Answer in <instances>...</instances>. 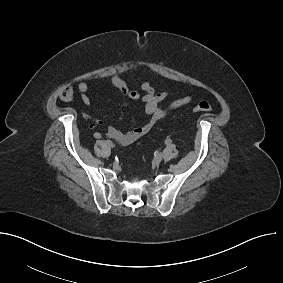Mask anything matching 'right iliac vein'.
Segmentation results:
<instances>
[{
	"instance_id": "obj_1",
	"label": "right iliac vein",
	"mask_w": 283,
	"mask_h": 283,
	"mask_svg": "<svg viewBox=\"0 0 283 283\" xmlns=\"http://www.w3.org/2000/svg\"><path fill=\"white\" fill-rule=\"evenodd\" d=\"M106 143L109 147H113V143L110 140H107Z\"/></svg>"
}]
</instances>
